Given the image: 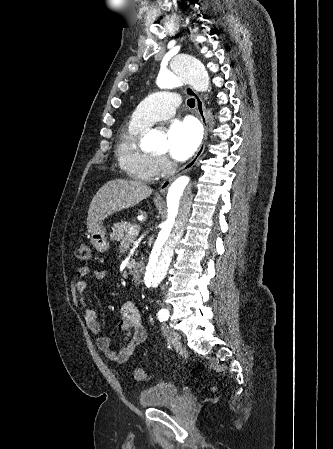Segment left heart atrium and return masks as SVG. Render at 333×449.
<instances>
[{
    "mask_svg": "<svg viewBox=\"0 0 333 449\" xmlns=\"http://www.w3.org/2000/svg\"><path fill=\"white\" fill-rule=\"evenodd\" d=\"M170 156L177 161L191 157L201 141V130L192 119L173 121L167 131Z\"/></svg>",
    "mask_w": 333,
    "mask_h": 449,
    "instance_id": "39dd6f15",
    "label": "left heart atrium"
}]
</instances>
